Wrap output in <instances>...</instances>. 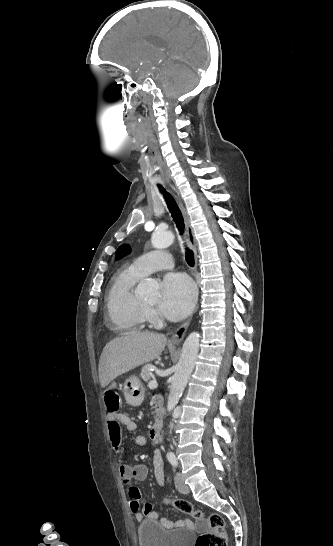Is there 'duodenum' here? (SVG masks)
<instances>
[{
  "label": "duodenum",
  "instance_id": "1",
  "mask_svg": "<svg viewBox=\"0 0 333 546\" xmlns=\"http://www.w3.org/2000/svg\"><path fill=\"white\" fill-rule=\"evenodd\" d=\"M161 429H162V419L160 416H158L151 430V438L153 440L158 441L160 439Z\"/></svg>",
  "mask_w": 333,
  "mask_h": 546
}]
</instances>
